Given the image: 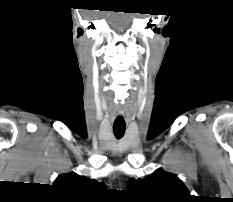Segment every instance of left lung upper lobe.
Segmentation results:
<instances>
[{
	"instance_id": "obj_1",
	"label": "left lung upper lobe",
	"mask_w": 233,
	"mask_h": 202,
	"mask_svg": "<svg viewBox=\"0 0 233 202\" xmlns=\"http://www.w3.org/2000/svg\"><path fill=\"white\" fill-rule=\"evenodd\" d=\"M127 187L147 202H185L191 196L180 179L157 169L144 179L131 178Z\"/></svg>"
}]
</instances>
